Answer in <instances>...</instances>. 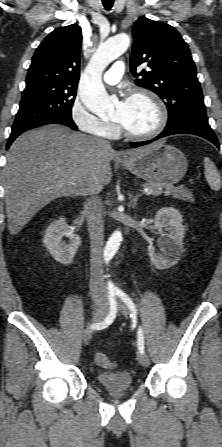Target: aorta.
<instances>
[{
	"mask_svg": "<svg viewBox=\"0 0 222 447\" xmlns=\"http://www.w3.org/2000/svg\"><path fill=\"white\" fill-rule=\"evenodd\" d=\"M130 38L125 33L117 34L102 43L93 55L80 89V99L92 113L103 116L114 107V100L107 94L101 74L106 66L121 56L129 47ZM122 241L121 231H115L106 243L104 257L110 260L118 251Z\"/></svg>",
	"mask_w": 222,
	"mask_h": 447,
	"instance_id": "obj_1",
	"label": "aorta"
}]
</instances>
